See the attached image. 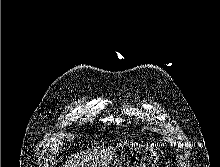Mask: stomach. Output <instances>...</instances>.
Returning a JSON list of instances; mask_svg holds the SVG:
<instances>
[{
	"mask_svg": "<svg viewBox=\"0 0 220 167\" xmlns=\"http://www.w3.org/2000/svg\"><path fill=\"white\" fill-rule=\"evenodd\" d=\"M157 150L152 146L123 144L116 148L107 167H155Z\"/></svg>",
	"mask_w": 220,
	"mask_h": 167,
	"instance_id": "0dacf381",
	"label": "stomach"
}]
</instances>
